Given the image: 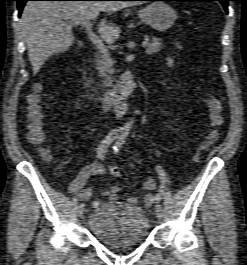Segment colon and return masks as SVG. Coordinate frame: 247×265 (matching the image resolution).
I'll list each match as a JSON object with an SVG mask.
<instances>
[{"label":"colon","mask_w":247,"mask_h":265,"mask_svg":"<svg viewBox=\"0 0 247 265\" xmlns=\"http://www.w3.org/2000/svg\"><path fill=\"white\" fill-rule=\"evenodd\" d=\"M176 48L179 49L180 47L177 46ZM169 63L172 67H175L176 57L174 56L170 58ZM202 100L210 107L212 129L201 142L198 149L199 153L208 150L220 139L222 133L221 129L224 124V119L221 113V106L218 100L209 94L203 95ZM28 103V139L32 144L40 146L45 141V130L44 113L41 106V96L39 94L38 88L32 94L29 95ZM42 155L44 157H48V152L45 149H42ZM110 172L116 178H120L122 176L121 170L117 166H111Z\"/></svg>","instance_id":"colon-1"}]
</instances>
